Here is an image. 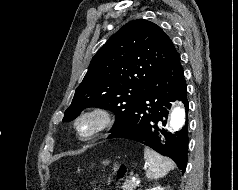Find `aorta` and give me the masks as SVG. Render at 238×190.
Listing matches in <instances>:
<instances>
[{"label":"aorta","instance_id":"aorta-1","mask_svg":"<svg viewBox=\"0 0 238 190\" xmlns=\"http://www.w3.org/2000/svg\"><path fill=\"white\" fill-rule=\"evenodd\" d=\"M186 110L182 104H176L171 112L170 127L172 130H179L185 124Z\"/></svg>","mask_w":238,"mask_h":190}]
</instances>
